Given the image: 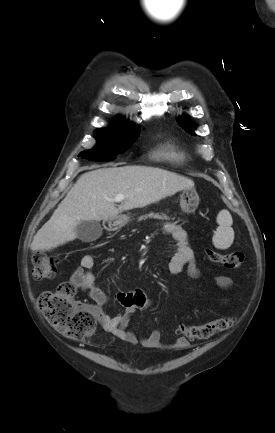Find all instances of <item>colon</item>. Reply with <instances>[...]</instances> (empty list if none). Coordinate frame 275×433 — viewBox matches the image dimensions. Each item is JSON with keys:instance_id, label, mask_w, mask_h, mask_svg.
I'll list each match as a JSON object with an SVG mask.
<instances>
[{"instance_id": "1", "label": "colon", "mask_w": 275, "mask_h": 433, "mask_svg": "<svg viewBox=\"0 0 275 433\" xmlns=\"http://www.w3.org/2000/svg\"><path fill=\"white\" fill-rule=\"evenodd\" d=\"M206 254L211 262L229 269H238L245 263L240 252L219 253L207 249ZM32 263V275L36 279H49L58 273L56 260L44 253H36ZM75 295L74 286L63 283L53 291L42 293L38 303L47 321L59 332L75 340H86L94 332L95 319L84 304L75 300ZM232 325V318L221 317L198 325L179 324L177 331L187 340H208Z\"/></svg>"}]
</instances>
